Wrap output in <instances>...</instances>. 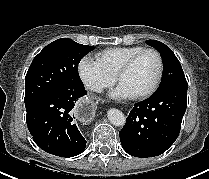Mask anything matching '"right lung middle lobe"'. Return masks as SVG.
Here are the masks:
<instances>
[{"label": "right lung middle lobe", "instance_id": "1", "mask_svg": "<svg viewBox=\"0 0 209 179\" xmlns=\"http://www.w3.org/2000/svg\"><path fill=\"white\" fill-rule=\"evenodd\" d=\"M93 49L69 38L55 40L44 47L33 59L25 77L26 110L53 92L82 88L78 64Z\"/></svg>", "mask_w": 209, "mask_h": 179}]
</instances>
